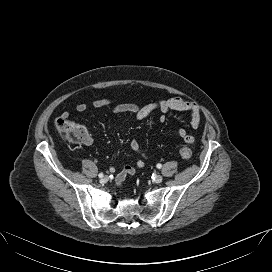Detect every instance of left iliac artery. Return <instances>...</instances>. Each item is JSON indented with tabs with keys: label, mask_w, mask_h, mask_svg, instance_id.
Instances as JSON below:
<instances>
[{
	"label": "left iliac artery",
	"mask_w": 272,
	"mask_h": 272,
	"mask_svg": "<svg viewBox=\"0 0 272 272\" xmlns=\"http://www.w3.org/2000/svg\"><path fill=\"white\" fill-rule=\"evenodd\" d=\"M156 167H157L158 169H160V168H162V165H161V164H157Z\"/></svg>",
	"instance_id": "left-iliac-artery-1"
}]
</instances>
